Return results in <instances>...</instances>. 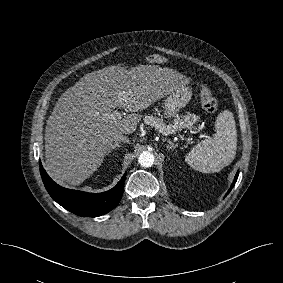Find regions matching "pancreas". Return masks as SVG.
Returning a JSON list of instances; mask_svg holds the SVG:
<instances>
[{
  "label": "pancreas",
  "mask_w": 283,
  "mask_h": 283,
  "mask_svg": "<svg viewBox=\"0 0 283 283\" xmlns=\"http://www.w3.org/2000/svg\"><path fill=\"white\" fill-rule=\"evenodd\" d=\"M143 120L147 125L154 127L155 130L170 134L184 128H191L193 123L198 120V117L195 114H186L182 119H175L174 124H166L162 118L153 115H146Z\"/></svg>",
  "instance_id": "cf45deb5"
}]
</instances>
